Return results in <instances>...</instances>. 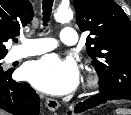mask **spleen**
<instances>
[{"mask_svg": "<svg viewBox=\"0 0 131 115\" xmlns=\"http://www.w3.org/2000/svg\"><path fill=\"white\" fill-rule=\"evenodd\" d=\"M117 115H131V110L126 108H118L115 110Z\"/></svg>", "mask_w": 131, "mask_h": 115, "instance_id": "1", "label": "spleen"}]
</instances>
